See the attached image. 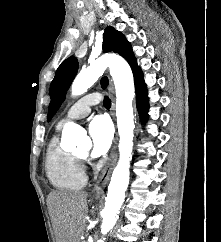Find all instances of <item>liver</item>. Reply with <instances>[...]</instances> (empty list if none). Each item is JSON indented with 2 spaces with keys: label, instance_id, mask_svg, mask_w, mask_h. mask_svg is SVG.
Masks as SVG:
<instances>
[{
  "label": "liver",
  "instance_id": "1",
  "mask_svg": "<svg viewBox=\"0 0 221 242\" xmlns=\"http://www.w3.org/2000/svg\"><path fill=\"white\" fill-rule=\"evenodd\" d=\"M87 192L53 191L47 205L56 242H80L88 213Z\"/></svg>",
  "mask_w": 221,
  "mask_h": 242
}]
</instances>
